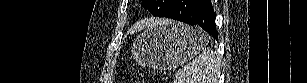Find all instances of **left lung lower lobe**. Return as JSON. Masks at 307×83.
Returning a JSON list of instances; mask_svg holds the SVG:
<instances>
[{
    "label": "left lung lower lobe",
    "mask_w": 307,
    "mask_h": 83,
    "mask_svg": "<svg viewBox=\"0 0 307 83\" xmlns=\"http://www.w3.org/2000/svg\"><path fill=\"white\" fill-rule=\"evenodd\" d=\"M164 17L187 24H197L218 39L216 15L210 0H174Z\"/></svg>",
    "instance_id": "left-lung-lower-lobe-1"
}]
</instances>
